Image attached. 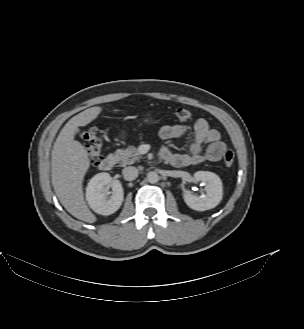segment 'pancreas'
Masks as SVG:
<instances>
[{
  "instance_id": "cf45deb5",
  "label": "pancreas",
  "mask_w": 304,
  "mask_h": 329,
  "mask_svg": "<svg viewBox=\"0 0 304 329\" xmlns=\"http://www.w3.org/2000/svg\"><path fill=\"white\" fill-rule=\"evenodd\" d=\"M115 156L121 166H126L135 163L141 159L138 149L134 146H128L126 149H118Z\"/></svg>"
}]
</instances>
